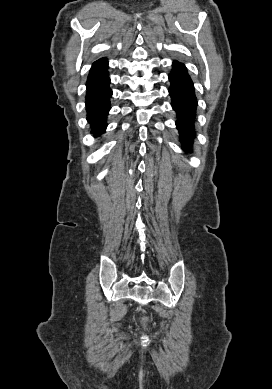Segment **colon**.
<instances>
[{
	"label": "colon",
	"instance_id": "colon-1",
	"mask_svg": "<svg viewBox=\"0 0 272 389\" xmlns=\"http://www.w3.org/2000/svg\"><path fill=\"white\" fill-rule=\"evenodd\" d=\"M146 321H147V319L146 318H144V322L146 323Z\"/></svg>",
	"mask_w": 272,
	"mask_h": 389
}]
</instances>
